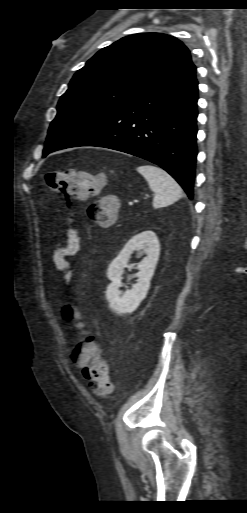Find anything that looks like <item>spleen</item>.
<instances>
[{
    "label": "spleen",
    "mask_w": 247,
    "mask_h": 513,
    "mask_svg": "<svg viewBox=\"0 0 247 513\" xmlns=\"http://www.w3.org/2000/svg\"><path fill=\"white\" fill-rule=\"evenodd\" d=\"M140 173L148 182L150 189L155 193L153 207L161 208L173 204L183 193L179 184L163 169L153 165H140L137 167Z\"/></svg>",
    "instance_id": "spleen-1"
}]
</instances>
